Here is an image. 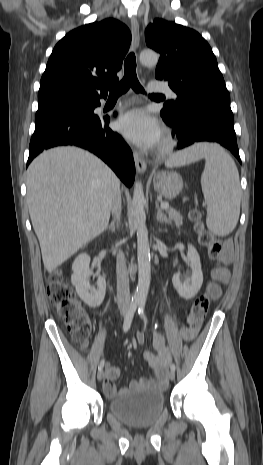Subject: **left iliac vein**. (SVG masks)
<instances>
[{"instance_id": "obj_1", "label": "left iliac vein", "mask_w": 263, "mask_h": 465, "mask_svg": "<svg viewBox=\"0 0 263 465\" xmlns=\"http://www.w3.org/2000/svg\"><path fill=\"white\" fill-rule=\"evenodd\" d=\"M168 378L170 380H174L175 379V372L173 370H170L169 373H168Z\"/></svg>"}]
</instances>
